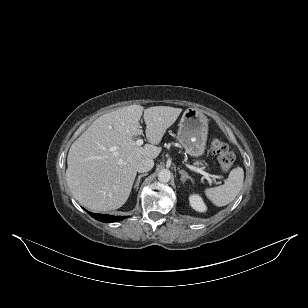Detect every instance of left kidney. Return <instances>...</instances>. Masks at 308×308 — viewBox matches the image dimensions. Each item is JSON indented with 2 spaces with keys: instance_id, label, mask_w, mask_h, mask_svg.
I'll return each mask as SVG.
<instances>
[{
  "instance_id": "5707ae66",
  "label": "left kidney",
  "mask_w": 308,
  "mask_h": 308,
  "mask_svg": "<svg viewBox=\"0 0 308 308\" xmlns=\"http://www.w3.org/2000/svg\"><path fill=\"white\" fill-rule=\"evenodd\" d=\"M190 205L191 207L199 212L206 211V206L202 200V198L199 195H191L189 197Z\"/></svg>"
}]
</instances>
